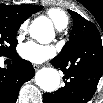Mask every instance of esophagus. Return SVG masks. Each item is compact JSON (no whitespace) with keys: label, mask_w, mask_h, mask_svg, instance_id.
Listing matches in <instances>:
<instances>
[{"label":"esophagus","mask_w":103,"mask_h":103,"mask_svg":"<svg viewBox=\"0 0 103 103\" xmlns=\"http://www.w3.org/2000/svg\"><path fill=\"white\" fill-rule=\"evenodd\" d=\"M33 67L35 70H38L39 68H41L42 66L41 65H38V64H33Z\"/></svg>","instance_id":"34e87169"}]
</instances>
